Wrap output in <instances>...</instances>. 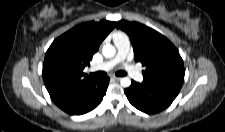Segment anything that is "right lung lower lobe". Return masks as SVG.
<instances>
[{
	"label": "right lung lower lobe",
	"instance_id": "1",
	"mask_svg": "<svg viewBox=\"0 0 225 132\" xmlns=\"http://www.w3.org/2000/svg\"><path fill=\"white\" fill-rule=\"evenodd\" d=\"M108 84V77L96 78L82 92L75 94L70 99L55 104L68 114H85L100 104L106 93Z\"/></svg>",
	"mask_w": 225,
	"mask_h": 132
}]
</instances>
